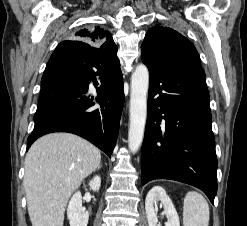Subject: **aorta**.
<instances>
[{"instance_id":"aorta-1","label":"aorta","mask_w":247,"mask_h":226,"mask_svg":"<svg viewBox=\"0 0 247 226\" xmlns=\"http://www.w3.org/2000/svg\"><path fill=\"white\" fill-rule=\"evenodd\" d=\"M149 72L144 64L136 67L131 77L129 149L136 153L143 141L146 117Z\"/></svg>"}]
</instances>
